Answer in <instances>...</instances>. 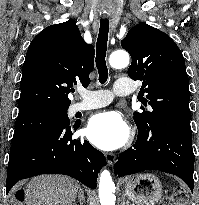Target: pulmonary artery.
Here are the masks:
<instances>
[{
    "instance_id": "pulmonary-artery-1",
    "label": "pulmonary artery",
    "mask_w": 199,
    "mask_h": 205,
    "mask_svg": "<svg viewBox=\"0 0 199 205\" xmlns=\"http://www.w3.org/2000/svg\"><path fill=\"white\" fill-rule=\"evenodd\" d=\"M134 90L133 85H131L126 79H118L116 80L113 93L119 96H124L132 93ZM80 94L83 97V100L80 102H76L71 105L70 112L77 113L81 111L91 110L95 108H100L108 105L112 99L113 94L107 90L100 91H81Z\"/></svg>"
}]
</instances>
